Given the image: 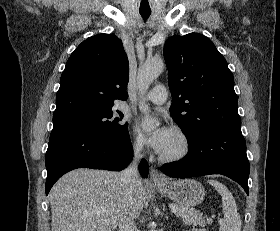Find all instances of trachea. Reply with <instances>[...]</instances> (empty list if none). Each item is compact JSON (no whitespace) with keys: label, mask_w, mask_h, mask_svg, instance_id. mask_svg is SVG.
Here are the masks:
<instances>
[{"label":"trachea","mask_w":280,"mask_h":231,"mask_svg":"<svg viewBox=\"0 0 280 231\" xmlns=\"http://www.w3.org/2000/svg\"><path fill=\"white\" fill-rule=\"evenodd\" d=\"M139 12L144 20L148 19L151 14V11L140 10Z\"/></svg>","instance_id":"obj_1"}]
</instances>
